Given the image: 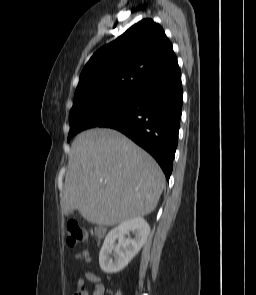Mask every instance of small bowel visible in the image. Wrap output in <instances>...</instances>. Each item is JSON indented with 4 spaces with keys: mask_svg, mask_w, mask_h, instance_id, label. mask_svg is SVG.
<instances>
[{
    "mask_svg": "<svg viewBox=\"0 0 256 295\" xmlns=\"http://www.w3.org/2000/svg\"><path fill=\"white\" fill-rule=\"evenodd\" d=\"M85 280H88L94 284L93 295H104V286L101 283V279L99 276L91 272L85 273V275L78 280V287H81L84 284Z\"/></svg>",
    "mask_w": 256,
    "mask_h": 295,
    "instance_id": "obj_1",
    "label": "small bowel"
}]
</instances>
